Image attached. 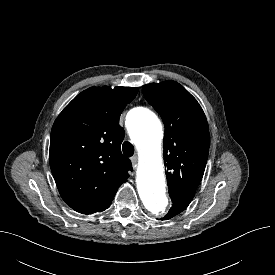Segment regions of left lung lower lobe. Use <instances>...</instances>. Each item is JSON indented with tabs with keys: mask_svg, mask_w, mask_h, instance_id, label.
Returning <instances> with one entry per match:
<instances>
[{
	"mask_svg": "<svg viewBox=\"0 0 275 275\" xmlns=\"http://www.w3.org/2000/svg\"><path fill=\"white\" fill-rule=\"evenodd\" d=\"M169 195L173 204L168 214L163 219H170L182 212L184 209L187 208L194 197V195L190 193H172Z\"/></svg>",
	"mask_w": 275,
	"mask_h": 275,
	"instance_id": "left-lung-lower-lobe-1",
	"label": "left lung lower lobe"
}]
</instances>
